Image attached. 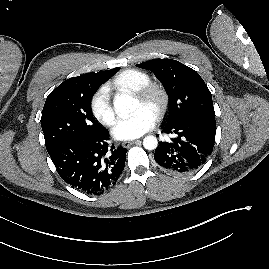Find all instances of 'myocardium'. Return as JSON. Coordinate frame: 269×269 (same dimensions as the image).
Listing matches in <instances>:
<instances>
[{"mask_svg":"<svg viewBox=\"0 0 269 269\" xmlns=\"http://www.w3.org/2000/svg\"><path fill=\"white\" fill-rule=\"evenodd\" d=\"M134 95L137 100L144 104L156 101V118L163 117L168 109L170 102L169 93L167 89L160 83L149 82L139 89Z\"/></svg>","mask_w":269,"mask_h":269,"instance_id":"obj_1","label":"myocardium"}]
</instances>
